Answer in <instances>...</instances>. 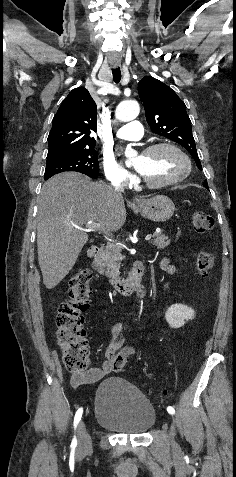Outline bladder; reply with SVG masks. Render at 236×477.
<instances>
[{"instance_id":"bladder-1","label":"bladder","mask_w":236,"mask_h":477,"mask_svg":"<svg viewBox=\"0 0 236 477\" xmlns=\"http://www.w3.org/2000/svg\"><path fill=\"white\" fill-rule=\"evenodd\" d=\"M95 421L115 432L140 435L156 422L151 401L132 383L108 377L99 385L94 398Z\"/></svg>"}]
</instances>
